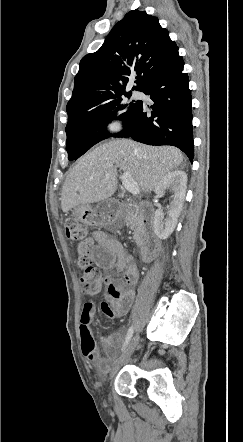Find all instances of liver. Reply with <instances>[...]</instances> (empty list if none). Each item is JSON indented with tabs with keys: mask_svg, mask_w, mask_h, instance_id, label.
Segmentation results:
<instances>
[{
	"mask_svg": "<svg viewBox=\"0 0 243 442\" xmlns=\"http://www.w3.org/2000/svg\"><path fill=\"white\" fill-rule=\"evenodd\" d=\"M183 160L175 147H154L126 139L104 143L71 169L61 193L62 210L67 213L77 206L110 198L117 189V168L130 172L138 187L150 192Z\"/></svg>",
	"mask_w": 243,
	"mask_h": 442,
	"instance_id": "liver-1",
	"label": "liver"
}]
</instances>
